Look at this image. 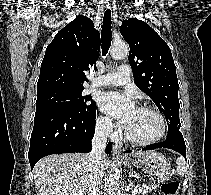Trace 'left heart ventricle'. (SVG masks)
<instances>
[{
    "instance_id": "b2bd125f",
    "label": "left heart ventricle",
    "mask_w": 211,
    "mask_h": 195,
    "mask_svg": "<svg viewBox=\"0 0 211 195\" xmlns=\"http://www.w3.org/2000/svg\"><path fill=\"white\" fill-rule=\"evenodd\" d=\"M126 128L133 137L148 140L160 133L161 122L155 113L137 108Z\"/></svg>"
}]
</instances>
